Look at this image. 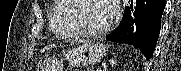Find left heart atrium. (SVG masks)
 <instances>
[{"mask_svg":"<svg viewBox=\"0 0 181 71\" xmlns=\"http://www.w3.org/2000/svg\"><path fill=\"white\" fill-rule=\"evenodd\" d=\"M114 7H110V10H109V16L112 17V15L114 14Z\"/></svg>","mask_w":181,"mask_h":71,"instance_id":"1","label":"left heart atrium"}]
</instances>
